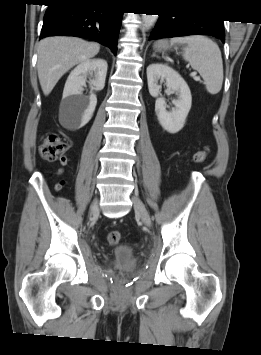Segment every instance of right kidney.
<instances>
[{"mask_svg":"<svg viewBox=\"0 0 261 355\" xmlns=\"http://www.w3.org/2000/svg\"><path fill=\"white\" fill-rule=\"evenodd\" d=\"M107 67L104 59L97 58L85 60L71 71L60 105V116L67 127L80 129L89 122L97 104V97L93 92L89 97H85L82 87L86 84L87 75L94 74V78L89 82L91 90H102L105 86Z\"/></svg>","mask_w":261,"mask_h":355,"instance_id":"1","label":"right kidney"}]
</instances>
